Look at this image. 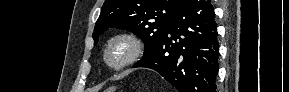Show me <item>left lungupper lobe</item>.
<instances>
[{
  "label": "left lung upper lobe",
  "mask_w": 289,
  "mask_h": 92,
  "mask_svg": "<svg viewBox=\"0 0 289 92\" xmlns=\"http://www.w3.org/2000/svg\"><path fill=\"white\" fill-rule=\"evenodd\" d=\"M183 0H105L95 24L93 39L108 28L131 31L145 43L144 57L159 46L165 28Z\"/></svg>",
  "instance_id": "obj_1"
}]
</instances>
